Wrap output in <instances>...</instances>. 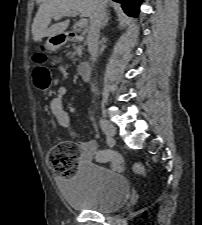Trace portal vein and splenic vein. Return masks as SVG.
<instances>
[{"instance_id":"obj_1","label":"portal vein and splenic vein","mask_w":202,"mask_h":225,"mask_svg":"<svg viewBox=\"0 0 202 225\" xmlns=\"http://www.w3.org/2000/svg\"><path fill=\"white\" fill-rule=\"evenodd\" d=\"M77 15H78V12L77 11H69V12L63 13V14H54L53 17H54V19H60L63 16H72V17H75ZM87 25H88V20L85 19V18L80 19L79 22H78V26L80 28H85Z\"/></svg>"}]
</instances>
